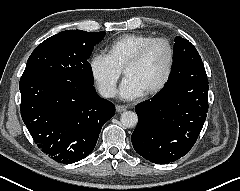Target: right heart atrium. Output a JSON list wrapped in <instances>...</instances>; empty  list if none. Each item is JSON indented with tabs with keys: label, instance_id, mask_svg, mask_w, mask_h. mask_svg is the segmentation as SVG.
Listing matches in <instances>:
<instances>
[{
	"label": "right heart atrium",
	"instance_id": "obj_1",
	"mask_svg": "<svg viewBox=\"0 0 240 191\" xmlns=\"http://www.w3.org/2000/svg\"><path fill=\"white\" fill-rule=\"evenodd\" d=\"M89 71L98 90L105 97L115 94L122 70L104 53H94L89 60Z\"/></svg>",
	"mask_w": 240,
	"mask_h": 191
}]
</instances>
